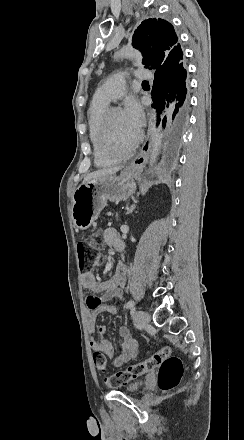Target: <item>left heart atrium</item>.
I'll list each match as a JSON object with an SVG mask.
<instances>
[{"label":"left heart atrium","instance_id":"left-heart-atrium-1","mask_svg":"<svg viewBox=\"0 0 244 440\" xmlns=\"http://www.w3.org/2000/svg\"><path fill=\"white\" fill-rule=\"evenodd\" d=\"M122 112L128 128L137 136L145 122L144 111L141 104L137 100H130Z\"/></svg>","mask_w":244,"mask_h":440}]
</instances>
